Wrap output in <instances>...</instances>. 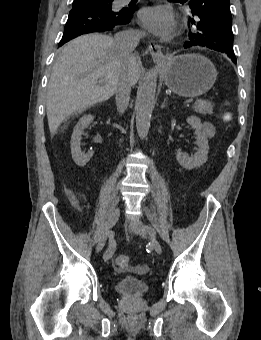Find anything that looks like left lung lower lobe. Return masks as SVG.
Segmentation results:
<instances>
[{
	"mask_svg": "<svg viewBox=\"0 0 261 340\" xmlns=\"http://www.w3.org/2000/svg\"><path fill=\"white\" fill-rule=\"evenodd\" d=\"M207 8H208V9H205V10L202 12V14L200 15V17H202V19H204V20H208L207 14H212V13H214L216 10H220L221 12H224L225 14H230V15H231V12H230L228 9H226V8H219V7H215V6H207ZM190 21H191V19H190ZM191 23H192V22H191ZM192 42H194V41H193V40H190V41L185 42L184 48H188V47L193 46L194 43H192ZM219 52H222V53L227 54L228 57H230L231 60H232L233 62H236V57H235V55H234V51L231 52V51H225V50L222 49V50L219 51Z\"/></svg>",
	"mask_w": 261,
	"mask_h": 340,
	"instance_id": "1",
	"label": "left lung lower lobe"
}]
</instances>
